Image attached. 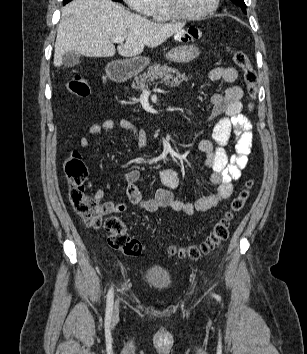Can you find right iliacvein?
Listing matches in <instances>:
<instances>
[{"label":"right iliac vein","mask_w":307,"mask_h":354,"mask_svg":"<svg viewBox=\"0 0 307 354\" xmlns=\"http://www.w3.org/2000/svg\"><path fill=\"white\" fill-rule=\"evenodd\" d=\"M118 302L115 303V309H114V315H117L118 314Z\"/></svg>","instance_id":"1"}]
</instances>
